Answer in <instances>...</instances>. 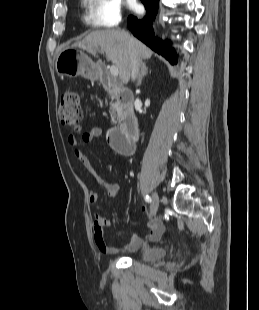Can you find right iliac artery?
Segmentation results:
<instances>
[{
	"label": "right iliac artery",
	"mask_w": 259,
	"mask_h": 310,
	"mask_svg": "<svg viewBox=\"0 0 259 310\" xmlns=\"http://www.w3.org/2000/svg\"><path fill=\"white\" fill-rule=\"evenodd\" d=\"M145 201L151 202V198H150L148 195H146V196H145Z\"/></svg>",
	"instance_id": "82829eb1"
}]
</instances>
